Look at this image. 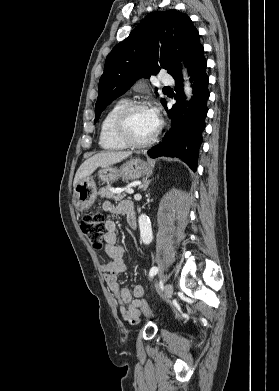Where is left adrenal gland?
Masks as SVG:
<instances>
[{"instance_id": "1", "label": "left adrenal gland", "mask_w": 279, "mask_h": 391, "mask_svg": "<svg viewBox=\"0 0 279 391\" xmlns=\"http://www.w3.org/2000/svg\"><path fill=\"white\" fill-rule=\"evenodd\" d=\"M150 182L151 180H148V177L143 179V184L141 185L143 191L147 190Z\"/></svg>"}]
</instances>
